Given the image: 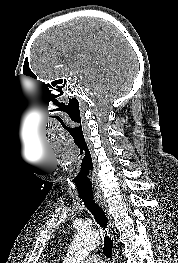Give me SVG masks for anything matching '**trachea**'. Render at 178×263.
I'll return each instance as SVG.
<instances>
[{"mask_svg": "<svg viewBox=\"0 0 178 263\" xmlns=\"http://www.w3.org/2000/svg\"><path fill=\"white\" fill-rule=\"evenodd\" d=\"M90 171L91 168L88 166L81 167L76 177L77 191L84 202V205L94 215L99 226L105 231L103 253L107 258H110L113 251V241L111 240V237L107 235V231L105 230L107 228L108 218L103 209L94 200Z\"/></svg>", "mask_w": 178, "mask_h": 263, "instance_id": "obj_1", "label": "trachea"}]
</instances>
